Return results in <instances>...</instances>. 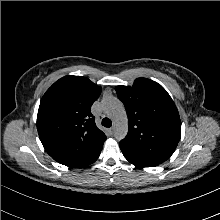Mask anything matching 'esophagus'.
I'll use <instances>...</instances> for the list:
<instances>
[{
  "mask_svg": "<svg viewBox=\"0 0 220 220\" xmlns=\"http://www.w3.org/2000/svg\"><path fill=\"white\" fill-rule=\"evenodd\" d=\"M109 132H110L111 134H113V132H114V128H113V127L110 128V129H109Z\"/></svg>",
  "mask_w": 220,
  "mask_h": 220,
  "instance_id": "esophagus-1",
  "label": "esophagus"
}]
</instances>
